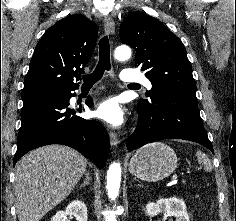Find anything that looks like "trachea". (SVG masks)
I'll use <instances>...</instances> for the list:
<instances>
[{
    "instance_id": "1",
    "label": "trachea",
    "mask_w": 236,
    "mask_h": 221,
    "mask_svg": "<svg viewBox=\"0 0 236 221\" xmlns=\"http://www.w3.org/2000/svg\"><path fill=\"white\" fill-rule=\"evenodd\" d=\"M110 70V44L105 36L99 41V62L92 73L83 76V86H93L102 78L105 71Z\"/></svg>"
}]
</instances>
